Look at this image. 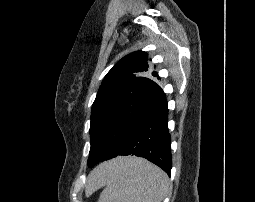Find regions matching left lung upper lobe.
Instances as JSON below:
<instances>
[{
    "instance_id": "5c2ea615",
    "label": "left lung upper lobe",
    "mask_w": 255,
    "mask_h": 202,
    "mask_svg": "<svg viewBox=\"0 0 255 202\" xmlns=\"http://www.w3.org/2000/svg\"><path fill=\"white\" fill-rule=\"evenodd\" d=\"M146 52L123 57L105 76L92 106L89 167L114 158L142 121L165 100Z\"/></svg>"
}]
</instances>
